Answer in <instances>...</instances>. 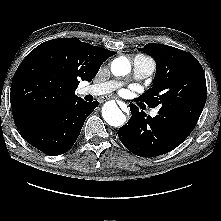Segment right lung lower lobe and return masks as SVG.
<instances>
[{"mask_svg":"<svg viewBox=\"0 0 221 221\" xmlns=\"http://www.w3.org/2000/svg\"><path fill=\"white\" fill-rule=\"evenodd\" d=\"M98 102L80 99L69 106L37 116L21 127L24 139L45 154L56 156L67 152L77 140L86 118Z\"/></svg>","mask_w":221,"mask_h":221,"instance_id":"98d812e1","label":"right lung lower lobe"}]
</instances>
